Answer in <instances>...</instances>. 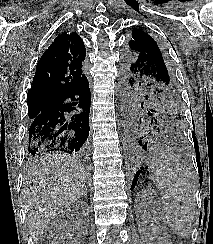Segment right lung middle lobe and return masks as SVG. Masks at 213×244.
Instances as JSON below:
<instances>
[{
  "mask_svg": "<svg viewBox=\"0 0 213 244\" xmlns=\"http://www.w3.org/2000/svg\"><path fill=\"white\" fill-rule=\"evenodd\" d=\"M51 97L52 96L42 95V96L27 98L29 118H31L33 116L34 111L36 110L37 106L41 102H43L44 100L49 99Z\"/></svg>",
  "mask_w": 213,
  "mask_h": 244,
  "instance_id": "obj_1",
  "label": "right lung middle lobe"
}]
</instances>
